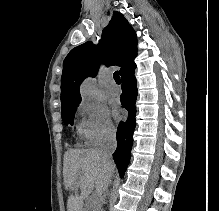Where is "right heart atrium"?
I'll use <instances>...</instances> for the list:
<instances>
[{
  "label": "right heart atrium",
  "instance_id": "1",
  "mask_svg": "<svg viewBox=\"0 0 219 211\" xmlns=\"http://www.w3.org/2000/svg\"><path fill=\"white\" fill-rule=\"evenodd\" d=\"M78 111L82 116L80 132L90 145L98 146L114 139L116 128L107 107L83 101Z\"/></svg>",
  "mask_w": 219,
  "mask_h": 211
}]
</instances>
